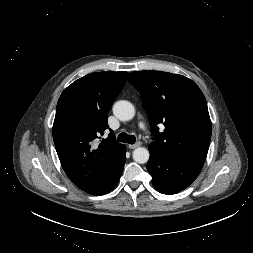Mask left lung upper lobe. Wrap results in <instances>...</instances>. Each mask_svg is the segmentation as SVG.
Here are the masks:
<instances>
[{
    "label": "left lung upper lobe",
    "mask_w": 253,
    "mask_h": 253,
    "mask_svg": "<svg viewBox=\"0 0 253 253\" xmlns=\"http://www.w3.org/2000/svg\"><path fill=\"white\" fill-rule=\"evenodd\" d=\"M139 91L154 141L149 145L169 160L201 171L211 139L205 97L192 80L163 71H137L128 76ZM165 126L160 133L158 125Z\"/></svg>",
    "instance_id": "1"
}]
</instances>
